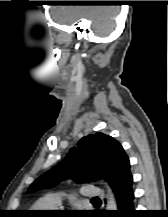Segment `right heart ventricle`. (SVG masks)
<instances>
[{
  "label": "right heart ventricle",
  "instance_id": "1",
  "mask_svg": "<svg viewBox=\"0 0 168 217\" xmlns=\"http://www.w3.org/2000/svg\"><path fill=\"white\" fill-rule=\"evenodd\" d=\"M50 208H54V206L48 204L45 199H41L33 205L34 210H47Z\"/></svg>",
  "mask_w": 168,
  "mask_h": 217
}]
</instances>
